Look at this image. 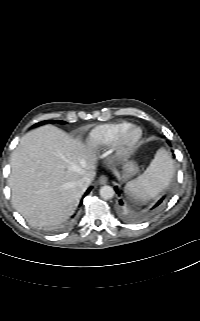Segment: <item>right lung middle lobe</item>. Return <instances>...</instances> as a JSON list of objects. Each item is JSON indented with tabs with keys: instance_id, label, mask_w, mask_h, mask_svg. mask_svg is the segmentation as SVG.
<instances>
[{
	"instance_id": "right-lung-middle-lobe-1",
	"label": "right lung middle lobe",
	"mask_w": 200,
	"mask_h": 321,
	"mask_svg": "<svg viewBox=\"0 0 200 321\" xmlns=\"http://www.w3.org/2000/svg\"><path fill=\"white\" fill-rule=\"evenodd\" d=\"M47 122H57V123H66V122H64V121H43V122H40V123H38V124H36L35 126H38V125H42V124H44V123H47Z\"/></svg>"
}]
</instances>
